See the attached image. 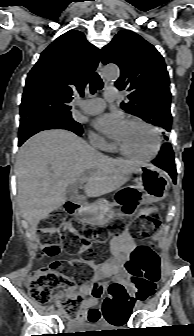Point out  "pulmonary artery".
<instances>
[{
	"label": "pulmonary artery",
	"instance_id": "pulmonary-artery-1",
	"mask_svg": "<svg viewBox=\"0 0 194 336\" xmlns=\"http://www.w3.org/2000/svg\"><path fill=\"white\" fill-rule=\"evenodd\" d=\"M104 96L105 99L93 98L79 101L81 109L88 114H97L101 112L106 106V101H113L118 97L116 88H107Z\"/></svg>",
	"mask_w": 194,
	"mask_h": 336
}]
</instances>
